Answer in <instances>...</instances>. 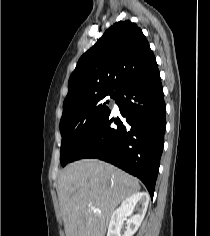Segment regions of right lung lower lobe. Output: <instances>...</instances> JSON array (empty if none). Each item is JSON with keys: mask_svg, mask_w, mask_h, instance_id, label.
<instances>
[{"mask_svg": "<svg viewBox=\"0 0 210 236\" xmlns=\"http://www.w3.org/2000/svg\"><path fill=\"white\" fill-rule=\"evenodd\" d=\"M115 94L122 118L110 111L70 162L98 158L114 164L138 177L153 197L166 128L158 67L132 78ZM113 122L115 127H111Z\"/></svg>", "mask_w": 210, "mask_h": 236, "instance_id": "98d812e1", "label": "right lung lower lobe"}]
</instances>
